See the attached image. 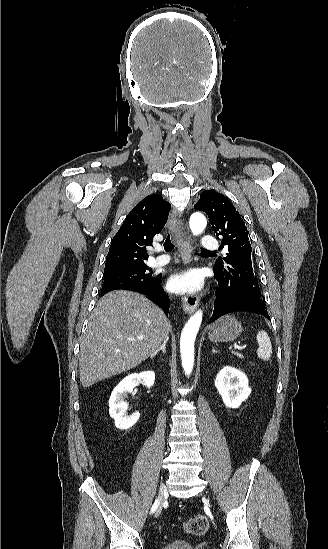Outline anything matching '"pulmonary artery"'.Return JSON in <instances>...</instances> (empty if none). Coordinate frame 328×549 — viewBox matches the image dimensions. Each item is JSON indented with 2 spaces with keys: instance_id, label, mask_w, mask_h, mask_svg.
<instances>
[{
  "instance_id": "1",
  "label": "pulmonary artery",
  "mask_w": 328,
  "mask_h": 549,
  "mask_svg": "<svg viewBox=\"0 0 328 549\" xmlns=\"http://www.w3.org/2000/svg\"><path fill=\"white\" fill-rule=\"evenodd\" d=\"M201 244L204 246L207 252H219L221 249V244L219 241H211L209 238H204L201 241ZM168 260L169 257L167 255H160L157 257H153L151 259V264L153 266H161L167 263Z\"/></svg>"
}]
</instances>
